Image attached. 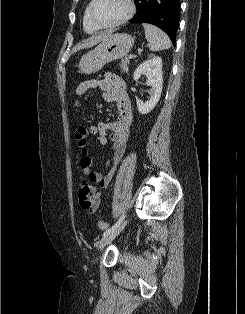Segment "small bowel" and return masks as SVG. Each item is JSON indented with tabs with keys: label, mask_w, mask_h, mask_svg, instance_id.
<instances>
[{
	"label": "small bowel",
	"mask_w": 245,
	"mask_h": 314,
	"mask_svg": "<svg viewBox=\"0 0 245 314\" xmlns=\"http://www.w3.org/2000/svg\"><path fill=\"white\" fill-rule=\"evenodd\" d=\"M99 88L103 92V100L109 103H115L118 116L112 122H100L95 125H81L77 128L75 137L80 153L79 167L84 175L92 182L98 183L102 188H106L111 180L114 170L121 160L126 143L130 134L132 122V110L129 96L126 90V84L122 78L114 73H107L101 80H88L80 83L75 90L78 97L91 93ZM96 136L97 141L104 145L108 139L112 143V158L104 164V169L99 172L91 171V167L97 165V162L90 156L88 149V138ZM103 193L98 192L93 210L99 206Z\"/></svg>",
	"instance_id": "1"
}]
</instances>
